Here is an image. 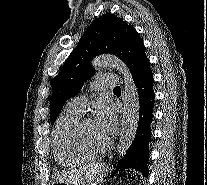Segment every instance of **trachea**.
Wrapping results in <instances>:
<instances>
[{
  "mask_svg": "<svg viewBox=\"0 0 207 185\" xmlns=\"http://www.w3.org/2000/svg\"><path fill=\"white\" fill-rule=\"evenodd\" d=\"M114 90H120V87H115Z\"/></svg>",
  "mask_w": 207,
  "mask_h": 185,
  "instance_id": "obj_1",
  "label": "trachea"
}]
</instances>
